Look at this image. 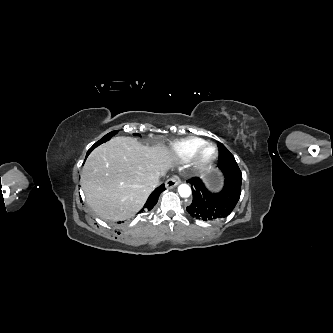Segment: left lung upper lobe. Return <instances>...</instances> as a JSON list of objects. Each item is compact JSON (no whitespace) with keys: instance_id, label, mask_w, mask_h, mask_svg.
<instances>
[{"instance_id":"obj_1","label":"left lung upper lobe","mask_w":333,"mask_h":333,"mask_svg":"<svg viewBox=\"0 0 333 333\" xmlns=\"http://www.w3.org/2000/svg\"><path fill=\"white\" fill-rule=\"evenodd\" d=\"M220 157L219 163H233L236 162L234 156L227 150V148L220 143L219 145Z\"/></svg>"}]
</instances>
